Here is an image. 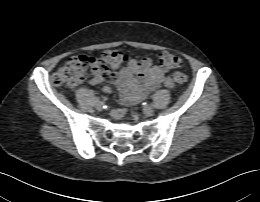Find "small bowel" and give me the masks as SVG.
Masks as SVG:
<instances>
[{
	"label": "small bowel",
	"instance_id": "1",
	"mask_svg": "<svg viewBox=\"0 0 260 202\" xmlns=\"http://www.w3.org/2000/svg\"><path fill=\"white\" fill-rule=\"evenodd\" d=\"M108 81L120 91L121 101L125 104H136L142 101L149 93L164 85L173 88V80L165 76L160 67L150 58L132 59L124 67L109 68L96 72L88 81L98 84ZM104 93L112 92L109 86L102 88ZM126 110L115 112L116 117L125 115Z\"/></svg>",
	"mask_w": 260,
	"mask_h": 202
}]
</instances>
